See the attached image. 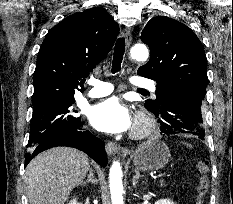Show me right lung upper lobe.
Listing matches in <instances>:
<instances>
[{
    "instance_id": "right-lung-upper-lobe-1",
    "label": "right lung upper lobe",
    "mask_w": 233,
    "mask_h": 204,
    "mask_svg": "<svg viewBox=\"0 0 233 204\" xmlns=\"http://www.w3.org/2000/svg\"><path fill=\"white\" fill-rule=\"evenodd\" d=\"M118 34L119 25L102 7L67 16L55 25L37 56L33 104L83 92L82 78L107 55Z\"/></svg>"
}]
</instances>
